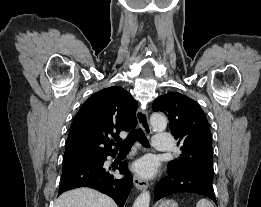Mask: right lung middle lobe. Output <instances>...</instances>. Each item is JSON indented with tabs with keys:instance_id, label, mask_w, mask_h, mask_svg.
<instances>
[{
	"instance_id": "dd1d6c3e",
	"label": "right lung middle lobe",
	"mask_w": 261,
	"mask_h": 207,
	"mask_svg": "<svg viewBox=\"0 0 261 207\" xmlns=\"http://www.w3.org/2000/svg\"><path fill=\"white\" fill-rule=\"evenodd\" d=\"M100 160V157H90V158H81L75 160L63 161V170L85 166V165H93Z\"/></svg>"
}]
</instances>
